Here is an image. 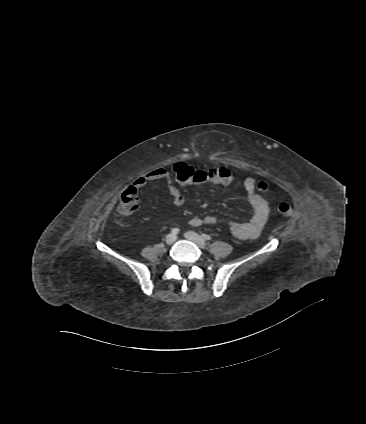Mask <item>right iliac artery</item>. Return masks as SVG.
I'll list each match as a JSON object with an SVG mask.
<instances>
[{
	"mask_svg": "<svg viewBox=\"0 0 366 424\" xmlns=\"http://www.w3.org/2000/svg\"><path fill=\"white\" fill-rule=\"evenodd\" d=\"M179 229L178 228H173L172 230H171V233L173 234V235H176V234H178L179 233Z\"/></svg>",
	"mask_w": 366,
	"mask_h": 424,
	"instance_id": "obj_1",
	"label": "right iliac artery"
}]
</instances>
